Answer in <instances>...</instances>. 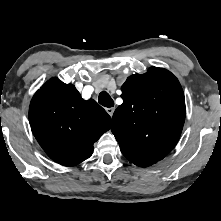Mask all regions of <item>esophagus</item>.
I'll return each instance as SVG.
<instances>
[{
  "instance_id": "34e87169",
  "label": "esophagus",
  "mask_w": 221,
  "mask_h": 221,
  "mask_svg": "<svg viewBox=\"0 0 221 221\" xmlns=\"http://www.w3.org/2000/svg\"><path fill=\"white\" fill-rule=\"evenodd\" d=\"M107 113L112 117L114 111H115V107H109L106 108Z\"/></svg>"
}]
</instances>
